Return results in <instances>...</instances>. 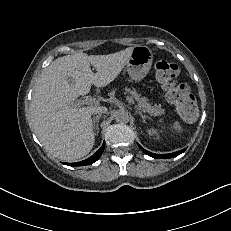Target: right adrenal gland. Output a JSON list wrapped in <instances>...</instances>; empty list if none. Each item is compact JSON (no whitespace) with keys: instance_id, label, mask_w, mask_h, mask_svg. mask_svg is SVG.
<instances>
[{"instance_id":"1","label":"right adrenal gland","mask_w":231,"mask_h":231,"mask_svg":"<svg viewBox=\"0 0 231 231\" xmlns=\"http://www.w3.org/2000/svg\"><path fill=\"white\" fill-rule=\"evenodd\" d=\"M100 117H101V114H99L93 118V128H94V130H96V134L99 133V119H100Z\"/></svg>"}]
</instances>
